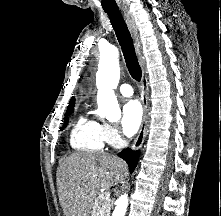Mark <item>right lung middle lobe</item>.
<instances>
[{"label":"right lung middle lobe","mask_w":221,"mask_h":216,"mask_svg":"<svg viewBox=\"0 0 221 216\" xmlns=\"http://www.w3.org/2000/svg\"><path fill=\"white\" fill-rule=\"evenodd\" d=\"M67 113L65 114V117H67ZM64 121H66V119H64ZM67 121H68V117H67ZM64 127H66V124L62 127V129H64Z\"/></svg>","instance_id":"right-lung-middle-lobe-1"}]
</instances>
